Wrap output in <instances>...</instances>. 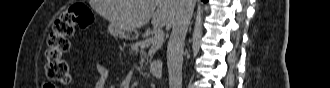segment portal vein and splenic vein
I'll return each instance as SVG.
<instances>
[{
	"label": "portal vein and splenic vein",
	"mask_w": 330,
	"mask_h": 88,
	"mask_svg": "<svg viewBox=\"0 0 330 88\" xmlns=\"http://www.w3.org/2000/svg\"><path fill=\"white\" fill-rule=\"evenodd\" d=\"M154 39L158 42H162L164 39V32L162 29L157 28L154 34Z\"/></svg>",
	"instance_id": "1"
}]
</instances>
